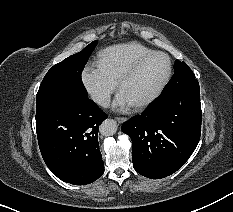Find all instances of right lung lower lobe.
I'll return each mask as SVG.
<instances>
[{
    "mask_svg": "<svg viewBox=\"0 0 233 212\" xmlns=\"http://www.w3.org/2000/svg\"><path fill=\"white\" fill-rule=\"evenodd\" d=\"M107 115L87 95L70 94L36 117L42 157L62 181L94 182L104 173L98 145L99 125Z\"/></svg>",
    "mask_w": 233,
    "mask_h": 212,
    "instance_id": "1",
    "label": "right lung lower lobe"
}]
</instances>
